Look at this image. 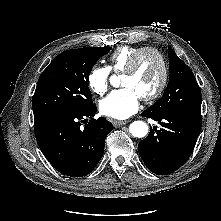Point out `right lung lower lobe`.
Returning a JSON list of instances; mask_svg holds the SVG:
<instances>
[{"label":"right lung lower lobe","mask_w":221,"mask_h":221,"mask_svg":"<svg viewBox=\"0 0 221 221\" xmlns=\"http://www.w3.org/2000/svg\"><path fill=\"white\" fill-rule=\"evenodd\" d=\"M96 111L94 104L83 112H59L34 118L37 143L60 173L86 176L103 156L105 138L112 131V124L104 117L94 119ZM82 123L86 125L83 127Z\"/></svg>","instance_id":"right-lung-lower-lobe-1"}]
</instances>
